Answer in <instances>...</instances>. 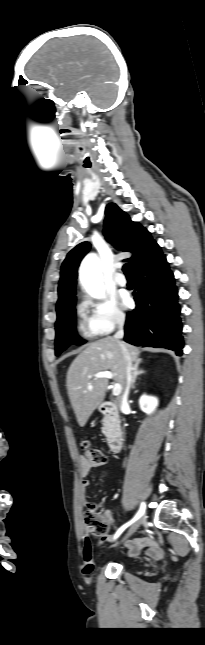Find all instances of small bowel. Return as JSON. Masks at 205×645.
<instances>
[{
    "label": "small bowel",
    "instance_id": "c3829d8e",
    "mask_svg": "<svg viewBox=\"0 0 205 645\" xmlns=\"http://www.w3.org/2000/svg\"><path fill=\"white\" fill-rule=\"evenodd\" d=\"M92 468L93 467L88 463V461L84 457L80 459L79 474L81 477V485L83 488H87L90 485L88 476ZM104 518L108 526L110 528H113L114 520H113L111 511L106 510L104 513ZM85 535L86 536H85L84 549H83V560L86 566L93 567L94 557H93L92 547L87 538V532L85 533ZM145 547L148 548L146 553L147 558L159 559L162 556L163 550L158 540L154 538H148V537L134 538L130 540L127 543L128 555L130 557H136L139 554L140 550Z\"/></svg>",
    "mask_w": 205,
    "mask_h": 645
}]
</instances>
